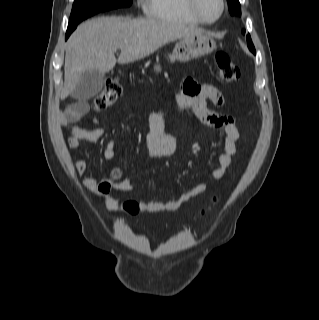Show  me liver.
<instances>
[{"label": "liver", "instance_id": "6515ba94", "mask_svg": "<svg viewBox=\"0 0 319 320\" xmlns=\"http://www.w3.org/2000/svg\"><path fill=\"white\" fill-rule=\"evenodd\" d=\"M202 33L198 28L162 19L106 16L88 20L67 41L61 99L74 91L86 72L105 74L116 62L126 64L143 59L169 42ZM117 49L121 50L118 60L114 55Z\"/></svg>", "mask_w": 319, "mask_h": 320}]
</instances>
